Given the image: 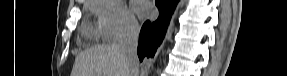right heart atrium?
Here are the masks:
<instances>
[{
    "label": "right heart atrium",
    "instance_id": "1",
    "mask_svg": "<svg viewBox=\"0 0 287 76\" xmlns=\"http://www.w3.org/2000/svg\"><path fill=\"white\" fill-rule=\"evenodd\" d=\"M92 11L98 18L101 35L107 41L122 40L139 30L135 15L119 0H95Z\"/></svg>",
    "mask_w": 287,
    "mask_h": 76
}]
</instances>
